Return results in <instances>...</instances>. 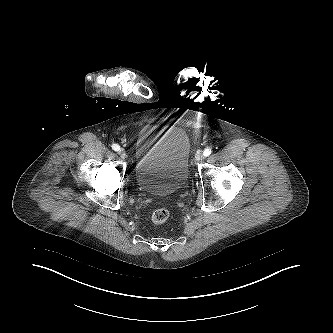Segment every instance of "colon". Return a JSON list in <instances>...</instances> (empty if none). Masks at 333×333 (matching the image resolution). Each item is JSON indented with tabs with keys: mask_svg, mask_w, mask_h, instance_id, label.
<instances>
[{
	"mask_svg": "<svg viewBox=\"0 0 333 333\" xmlns=\"http://www.w3.org/2000/svg\"><path fill=\"white\" fill-rule=\"evenodd\" d=\"M169 217V211L166 207H160L152 213V222L154 224H162Z\"/></svg>",
	"mask_w": 333,
	"mask_h": 333,
	"instance_id": "1",
	"label": "colon"
}]
</instances>
